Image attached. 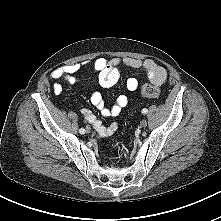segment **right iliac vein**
Masks as SVG:
<instances>
[{
  "mask_svg": "<svg viewBox=\"0 0 221 221\" xmlns=\"http://www.w3.org/2000/svg\"><path fill=\"white\" fill-rule=\"evenodd\" d=\"M91 128L90 127H87L86 128V132H90Z\"/></svg>",
  "mask_w": 221,
  "mask_h": 221,
  "instance_id": "63e3f726",
  "label": "right iliac vein"
}]
</instances>
